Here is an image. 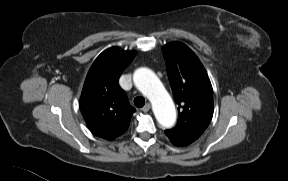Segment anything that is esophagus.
<instances>
[{
    "label": "esophagus",
    "mask_w": 288,
    "mask_h": 181,
    "mask_svg": "<svg viewBox=\"0 0 288 181\" xmlns=\"http://www.w3.org/2000/svg\"><path fill=\"white\" fill-rule=\"evenodd\" d=\"M151 108V104L150 103H147L143 108H142V111L143 112H148Z\"/></svg>",
    "instance_id": "obj_1"
}]
</instances>
